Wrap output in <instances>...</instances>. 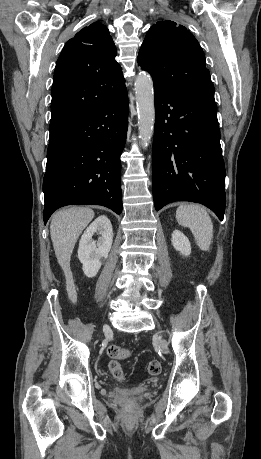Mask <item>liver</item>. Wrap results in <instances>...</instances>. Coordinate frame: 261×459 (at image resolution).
I'll list each match as a JSON object with an SVG mask.
<instances>
[{
    "instance_id": "6515ba94",
    "label": "liver",
    "mask_w": 261,
    "mask_h": 459,
    "mask_svg": "<svg viewBox=\"0 0 261 459\" xmlns=\"http://www.w3.org/2000/svg\"><path fill=\"white\" fill-rule=\"evenodd\" d=\"M94 218L88 207H70L55 213L50 224V235L57 261L67 277H71L70 259L85 227Z\"/></svg>"
}]
</instances>
